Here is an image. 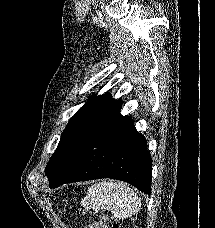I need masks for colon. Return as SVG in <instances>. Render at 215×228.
Listing matches in <instances>:
<instances>
[{
    "instance_id": "colon-1",
    "label": "colon",
    "mask_w": 215,
    "mask_h": 228,
    "mask_svg": "<svg viewBox=\"0 0 215 228\" xmlns=\"http://www.w3.org/2000/svg\"><path fill=\"white\" fill-rule=\"evenodd\" d=\"M87 228H118V224L112 216L102 214L97 219L96 225H87Z\"/></svg>"
}]
</instances>
